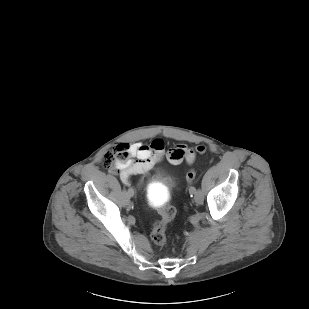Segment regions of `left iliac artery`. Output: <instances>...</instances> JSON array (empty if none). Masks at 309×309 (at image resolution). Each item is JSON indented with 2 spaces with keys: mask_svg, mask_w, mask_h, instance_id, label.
I'll return each instance as SVG.
<instances>
[{
  "mask_svg": "<svg viewBox=\"0 0 309 309\" xmlns=\"http://www.w3.org/2000/svg\"><path fill=\"white\" fill-rule=\"evenodd\" d=\"M195 192H196V189L194 187L189 188V193L191 194V196L192 194H195Z\"/></svg>",
  "mask_w": 309,
  "mask_h": 309,
  "instance_id": "left-iliac-artery-1",
  "label": "left iliac artery"
}]
</instances>
